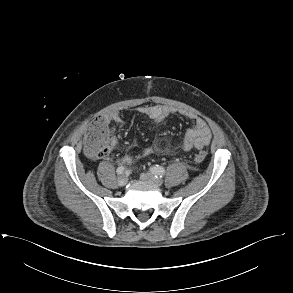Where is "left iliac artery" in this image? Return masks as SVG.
Instances as JSON below:
<instances>
[{
  "label": "left iliac artery",
  "mask_w": 293,
  "mask_h": 293,
  "mask_svg": "<svg viewBox=\"0 0 293 293\" xmlns=\"http://www.w3.org/2000/svg\"><path fill=\"white\" fill-rule=\"evenodd\" d=\"M150 171L155 175L156 178H161L165 174V169L159 165L152 166Z\"/></svg>",
  "instance_id": "obj_1"
}]
</instances>
